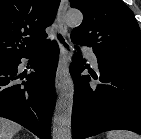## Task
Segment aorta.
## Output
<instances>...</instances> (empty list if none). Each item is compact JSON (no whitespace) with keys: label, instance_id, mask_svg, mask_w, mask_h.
Returning a JSON list of instances; mask_svg holds the SVG:
<instances>
[{"label":"aorta","instance_id":"1","mask_svg":"<svg viewBox=\"0 0 141 139\" xmlns=\"http://www.w3.org/2000/svg\"><path fill=\"white\" fill-rule=\"evenodd\" d=\"M65 20L67 24L77 26L81 24L83 15L78 10H69ZM73 96L74 83L70 75H67L56 102L53 118V139H71Z\"/></svg>","mask_w":141,"mask_h":139}]
</instances>
